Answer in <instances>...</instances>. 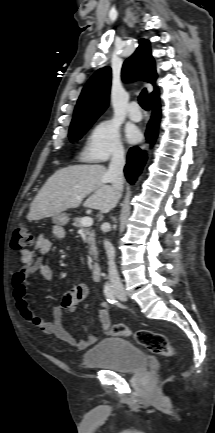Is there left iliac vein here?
Returning a JSON list of instances; mask_svg holds the SVG:
<instances>
[{"mask_svg": "<svg viewBox=\"0 0 215 433\" xmlns=\"http://www.w3.org/2000/svg\"><path fill=\"white\" fill-rule=\"evenodd\" d=\"M117 298L119 300H121V301H126L127 300L126 296H120L119 294H117Z\"/></svg>", "mask_w": 215, "mask_h": 433, "instance_id": "4c4485c4", "label": "left iliac vein"}]
</instances>
